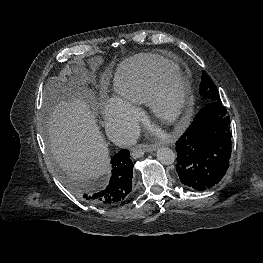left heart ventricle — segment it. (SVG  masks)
<instances>
[{
    "label": "left heart ventricle",
    "mask_w": 263,
    "mask_h": 263,
    "mask_svg": "<svg viewBox=\"0 0 263 263\" xmlns=\"http://www.w3.org/2000/svg\"><path fill=\"white\" fill-rule=\"evenodd\" d=\"M178 104V91L174 84H168L164 87L161 108L165 113H171Z\"/></svg>",
    "instance_id": "1"
}]
</instances>
